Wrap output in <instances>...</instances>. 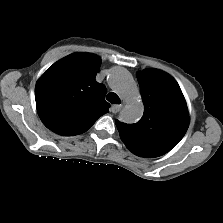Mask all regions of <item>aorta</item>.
Instances as JSON below:
<instances>
[{"label":"aorta","mask_w":223,"mask_h":223,"mask_svg":"<svg viewBox=\"0 0 223 223\" xmlns=\"http://www.w3.org/2000/svg\"><path fill=\"white\" fill-rule=\"evenodd\" d=\"M108 82L126 101V105L120 113L121 120L125 123L138 122L143 116L144 105L130 72L123 67H113L108 75Z\"/></svg>","instance_id":"obj_1"}]
</instances>
